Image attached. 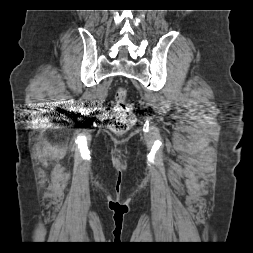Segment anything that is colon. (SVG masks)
<instances>
[{"instance_id": "colon-1", "label": "colon", "mask_w": 253, "mask_h": 253, "mask_svg": "<svg viewBox=\"0 0 253 253\" xmlns=\"http://www.w3.org/2000/svg\"><path fill=\"white\" fill-rule=\"evenodd\" d=\"M114 114L109 122L110 130L116 135L125 134L135 122V113L131 104L127 102V90L123 87L115 93Z\"/></svg>"}]
</instances>
